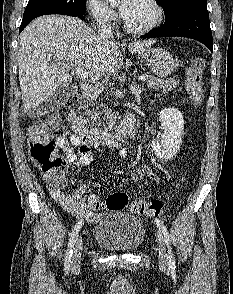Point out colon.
<instances>
[{"label":"colon","mask_w":233,"mask_h":294,"mask_svg":"<svg viewBox=\"0 0 233 294\" xmlns=\"http://www.w3.org/2000/svg\"><path fill=\"white\" fill-rule=\"evenodd\" d=\"M203 70L204 60L199 57L192 59L187 71L186 86L189 99L196 107L203 100ZM54 124V120H49L30 126L27 131L26 144L32 161L45 174L49 182L56 188H63L66 183L67 162L57 154V144L51 135ZM91 205L95 209L99 207L108 210L128 208L133 213L151 218L159 216L163 210V203L160 200L130 202L125 193H114L106 201L95 200L91 202Z\"/></svg>","instance_id":"5ec220e1"}]
</instances>
